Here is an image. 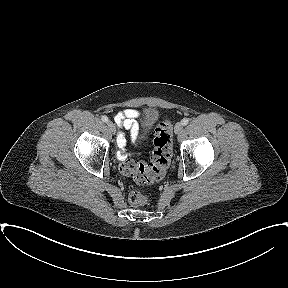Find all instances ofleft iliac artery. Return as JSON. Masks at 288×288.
<instances>
[{
    "label": "left iliac artery",
    "mask_w": 288,
    "mask_h": 288,
    "mask_svg": "<svg viewBox=\"0 0 288 288\" xmlns=\"http://www.w3.org/2000/svg\"><path fill=\"white\" fill-rule=\"evenodd\" d=\"M189 123V119L188 118H184L183 120H182V124L185 126V125H187Z\"/></svg>",
    "instance_id": "44dca946"
}]
</instances>
